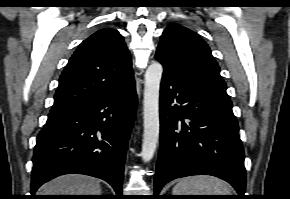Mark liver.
<instances>
[{"mask_svg": "<svg viewBox=\"0 0 290 199\" xmlns=\"http://www.w3.org/2000/svg\"><path fill=\"white\" fill-rule=\"evenodd\" d=\"M39 195H100L99 180L84 176L69 174L55 178L44 184Z\"/></svg>", "mask_w": 290, "mask_h": 199, "instance_id": "liver-1", "label": "liver"}]
</instances>
